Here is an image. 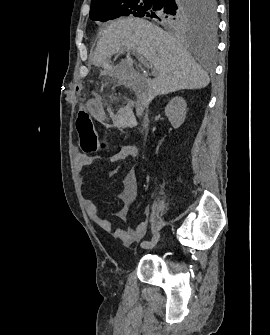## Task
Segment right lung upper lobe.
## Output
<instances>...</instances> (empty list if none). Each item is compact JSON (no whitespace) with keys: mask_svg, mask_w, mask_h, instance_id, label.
Instances as JSON below:
<instances>
[{"mask_svg":"<svg viewBox=\"0 0 270 335\" xmlns=\"http://www.w3.org/2000/svg\"><path fill=\"white\" fill-rule=\"evenodd\" d=\"M107 1H109V0H91V7L100 5V4L105 3Z\"/></svg>","mask_w":270,"mask_h":335,"instance_id":"right-lung-upper-lobe-1","label":"right lung upper lobe"}]
</instances>
